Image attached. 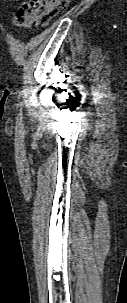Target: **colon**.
I'll list each match as a JSON object with an SVG mask.
<instances>
[{
    "label": "colon",
    "mask_w": 127,
    "mask_h": 303,
    "mask_svg": "<svg viewBox=\"0 0 127 303\" xmlns=\"http://www.w3.org/2000/svg\"><path fill=\"white\" fill-rule=\"evenodd\" d=\"M69 0H28L16 13V22L23 26L43 25L56 13L63 11Z\"/></svg>",
    "instance_id": "1"
}]
</instances>
